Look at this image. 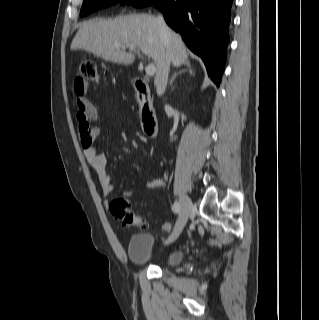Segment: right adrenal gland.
<instances>
[{
  "label": "right adrenal gland",
  "instance_id": "2a0ac1e0",
  "mask_svg": "<svg viewBox=\"0 0 319 320\" xmlns=\"http://www.w3.org/2000/svg\"><path fill=\"white\" fill-rule=\"evenodd\" d=\"M185 66L187 67V70H180L179 72L173 74V76H172V78H171V80H170V86L172 85L174 79L176 78V76H177L178 74H181V73H183V72H185V71H188V72L190 73V75H193V70H192V68H191L190 63H189V62H186V63H185Z\"/></svg>",
  "mask_w": 319,
  "mask_h": 320
}]
</instances>
